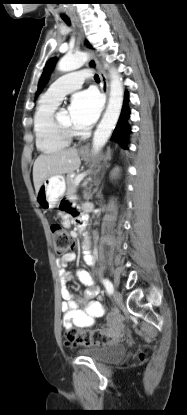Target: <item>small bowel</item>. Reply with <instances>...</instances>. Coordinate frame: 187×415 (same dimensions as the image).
Masks as SVG:
<instances>
[{
    "mask_svg": "<svg viewBox=\"0 0 187 415\" xmlns=\"http://www.w3.org/2000/svg\"><path fill=\"white\" fill-rule=\"evenodd\" d=\"M62 211L74 218V220L80 216V213L76 209L67 205L62 207ZM65 225H69V219L67 217L65 218ZM74 259L75 255L73 253H67L56 261L62 283L61 296L63 302L61 304V309L64 313L63 326L65 328H70L72 326L87 328L93 325L95 319L105 315V309L99 301L94 300V298L100 294V291L99 288L95 286L94 281L88 272L84 270H79L77 272V277L80 282L87 286L82 297H75V295L65 286V284L72 279V274L66 270V266ZM85 259L89 264H92L93 259L91 255L87 254ZM109 320L113 323L115 317L111 316Z\"/></svg>",
    "mask_w": 187,
    "mask_h": 415,
    "instance_id": "small-bowel-1",
    "label": "small bowel"
}]
</instances>
